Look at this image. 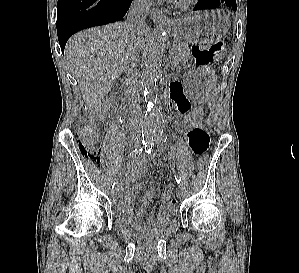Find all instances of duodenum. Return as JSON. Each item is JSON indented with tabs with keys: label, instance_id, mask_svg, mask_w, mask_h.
Listing matches in <instances>:
<instances>
[{
	"label": "duodenum",
	"instance_id": "duodenum-1",
	"mask_svg": "<svg viewBox=\"0 0 299 273\" xmlns=\"http://www.w3.org/2000/svg\"><path fill=\"white\" fill-rule=\"evenodd\" d=\"M119 103L121 104L120 105V110H121V112H124V106H123V101H122V99H119ZM167 106L169 107V108H171V101H170V98L168 99V101H167Z\"/></svg>",
	"mask_w": 299,
	"mask_h": 273
}]
</instances>
